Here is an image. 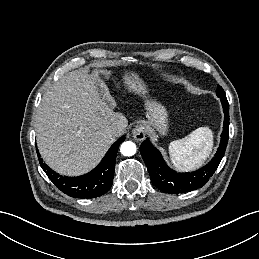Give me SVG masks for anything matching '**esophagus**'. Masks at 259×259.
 Masks as SVG:
<instances>
[{"instance_id": "34e87169", "label": "esophagus", "mask_w": 259, "mask_h": 259, "mask_svg": "<svg viewBox=\"0 0 259 259\" xmlns=\"http://www.w3.org/2000/svg\"><path fill=\"white\" fill-rule=\"evenodd\" d=\"M146 126L144 124H138L132 130V136L136 141H142L146 137Z\"/></svg>"}]
</instances>
